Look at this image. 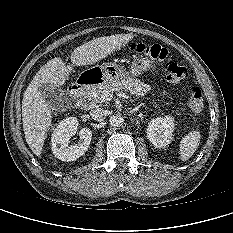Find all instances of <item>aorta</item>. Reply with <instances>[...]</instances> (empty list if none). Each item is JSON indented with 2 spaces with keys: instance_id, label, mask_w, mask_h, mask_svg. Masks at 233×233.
Segmentation results:
<instances>
[{
  "instance_id": "1",
  "label": "aorta",
  "mask_w": 233,
  "mask_h": 233,
  "mask_svg": "<svg viewBox=\"0 0 233 233\" xmlns=\"http://www.w3.org/2000/svg\"><path fill=\"white\" fill-rule=\"evenodd\" d=\"M109 123L112 127H121L124 124V118L120 114H114L110 117Z\"/></svg>"
}]
</instances>
